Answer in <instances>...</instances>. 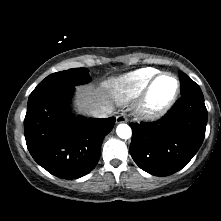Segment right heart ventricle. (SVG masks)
Listing matches in <instances>:
<instances>
[{
	"label": "right heart ventricle",
	"instance_id": "1",
	"mask_svg": "<svg viewBox=\"0 0 221 221\" xmlns=\"http://www.w3.org/2000/svg\"><path fill=\"white\" fill-rule=\"evenodd\" d=\"M154 68L145 67L126 73L105 83V87L119 102H128L139 96L150 79L157 74Z\"/></svg>",
	"mask_w": 221,
	"mask_h": 221
}]
</instances>
